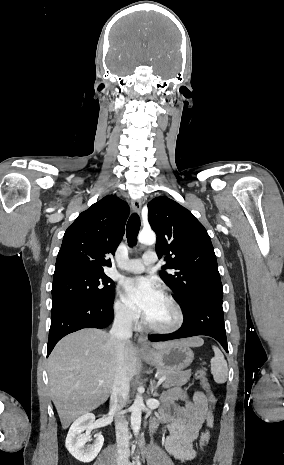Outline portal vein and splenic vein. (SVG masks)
<instances>
[{
  "instance_id": "1",
  "label": "portal vein and splenic vein",
  "mask_w": 284,
  "mask_h": 465,
  "mask_svg": "<svg viewBox=\"0 0 284 465\" xmlns=\"http://www.w3.org/2000/svg\"><path fill=\"white\" fill-rule=\"evenodd\" d=\"M166 377H161V379H159L158 381V385H161V383H163V381H165ZM99 383H103V381H99Z\"/></svg>"
}]
</instances>
